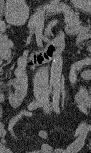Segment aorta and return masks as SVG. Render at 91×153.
I'll use <instances>...</instances> for the list:
<instances>
[{
	"instance_id": "aorta-1",
	"label": "aorta",
	"mask_w": 91,
	"mask_h": 153,
	"mask_svg": "<svg viewBox=\"0 0 91 153\" xmlns=\"http://www.w3.org/2000/svg\"><path fill=\"white\" fill-rule=\"evenodd\" d=\"M62 57L60 54H56L53 57L52 65H51V75H50V84L52 86H59L61 75H62Z\"/></svg>"
}]
</instances>
